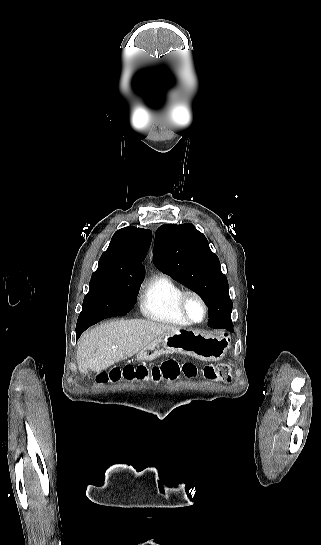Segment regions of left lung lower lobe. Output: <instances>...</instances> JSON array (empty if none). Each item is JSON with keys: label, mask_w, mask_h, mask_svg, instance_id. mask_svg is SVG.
Returning a JSON list of instances; mask_svg holds the SVG:
<instances>
[{"label": "left lung lower lobe", "mask_w": 321, "mask_h": 545, "mask_svg": "<svg viewBox=\"0 0 321 545\" xmlns=\"http://www.w3.org/2000/svg\"><path fill=\"white\" fill-rule=\"evenodd\" d=\"M208 326L211 328H225L227 330L233 331L231 316L226 315L220 311L209 310Z\"/></svg>", "instance_id": "1"}]
</instances>
